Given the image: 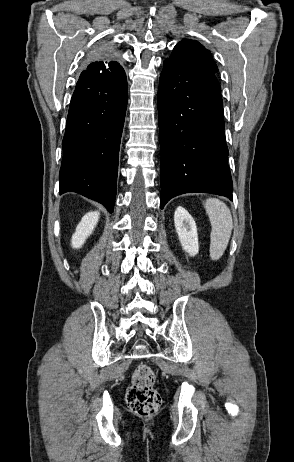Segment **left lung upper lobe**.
Listing matches in <instances>:
<instances>
[{
    "label": "left lung upper lobe",
    "mask_w": 294,
    "mask_h": 462,
    "mask_svg": "<svg viewBox=\"0 0 294 462\" xmlns=\"http://www.w3.org/2000/svg\"><path fill=\"white\" fill-rule=\"evenodd\" d=\"M167 60L179 62L210 74L218 71L210 51L194 40L183 39L175 46L172 55Z\"/></svg>",
    "instance_id": "5c2ea615"
}]
</instances>
